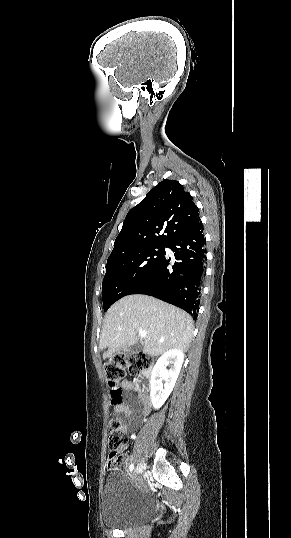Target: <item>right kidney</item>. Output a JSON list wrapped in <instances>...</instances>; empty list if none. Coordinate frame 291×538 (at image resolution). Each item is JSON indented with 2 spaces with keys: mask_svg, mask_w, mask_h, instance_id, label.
<instances>
[{
  "mask_svg": "<svg viewBox=\"0 0 291 538\" xmlns=\"http://www.w3.org/2000/svg\"><path fill=\"white\" fill-rule=\"evenodd\" d=\"M184 361V354L179 349H170L156 362L151 374L150 397L155 409L162 407L172 392ZM171 363L170 370L166 366ZM162 380L165 381L164 386Z\"/></svg>",
  "mask_w": 291,
  "mask_h": 538,
  "instance_id": "obj_1",
  "label": "right kidney"
}]
</instances>
